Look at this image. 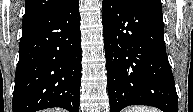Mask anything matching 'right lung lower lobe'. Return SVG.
<instances>
[{
    "label": "right lung lower lobe",
    "instance_id": "obj_1",
    "mask_svg": "<svg viewBox=\"0 0 193 112\" xmlns=\"http://www.w3.org/2000/svg\"><path fill=\"white\" fill-rule=\"evenodd\" d=\"M80 44L79 0L22 24L13 112L51 107L79 112Z\"/></svg>",
    "mask_w": 193,
    "mask_h": 112
}]
</instances>
